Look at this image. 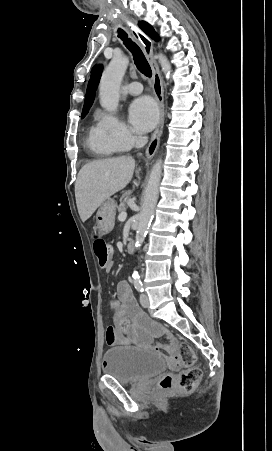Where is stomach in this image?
Returning <instances> with one entry per match:
<instances>
[{
	"label": "stomach",
	"mask_w": 272,
	"mask_h": 451,
	"mask_svg": "<svg viewBox=\"0 0 272 451\" xmlns=\"http://www.w3.org/2000/svg\"><path fill=\"white\" fill-rule=\"evenodd\" d=\"M115 216L116 204L112 198H108V200L103 202L96 214V229L101 235H105V233L112 231L115 224Z\"/></svg>",
	"instance_id": "obj_1"
}]
</instances>
